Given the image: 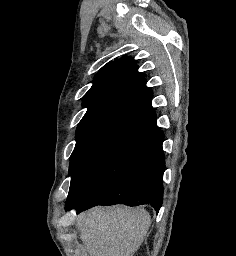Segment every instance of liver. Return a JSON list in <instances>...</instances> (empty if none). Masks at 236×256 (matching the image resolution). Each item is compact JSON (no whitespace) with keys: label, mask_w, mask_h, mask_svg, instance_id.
<instances>
[{"label":"liver","mask_w":236,"mask_h":256,"mask_svg":"<svg viewBox=\"0 0 236 256\" xmlns=\"http://www.w3.org/2000/svg\"><path fill=\"white\" fill-rule=\"evenodd\" d=\"M151 224L144 208H92L79 214L75 226L88 256H134Z\"/></svg>","instance_id":"liver-1"}]
</instances>
